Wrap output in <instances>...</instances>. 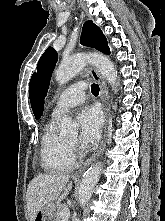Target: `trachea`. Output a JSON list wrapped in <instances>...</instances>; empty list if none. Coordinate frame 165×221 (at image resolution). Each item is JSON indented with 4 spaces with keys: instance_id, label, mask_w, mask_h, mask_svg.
Wrapping results in <instances>:
<instances>
[{
    "instance_id": "obj_1",
    "label": "trachea",
    "mask_w": 165,
    "mask_h": 221,
    "mask_svg": "<svg viewBox=\"0 0 165 221\" xmlns=\"http://www.w3.org/2000/svg\"><path fill=\"white\" fill-rule=\"evenodd\" d=\"M91 92L93 95H98L99 94V86L97 84H92L91 85Z\"/></svg>"
}]
</instances>
